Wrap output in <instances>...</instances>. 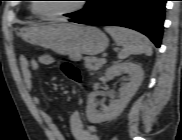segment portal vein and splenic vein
I'll list each match as a JSON object with an SVG mask.
<instances>
[{
  "instance_id": "1",
  "label": "portal vein and splenic vein",
  "mask_w": 182,
  "mask_h": 140,
  "mask_svg": "<svg viewBox=\"0 0 182 140\" xmlns=\"http://www.w3.org/2000/svg\"><path fill=\"white\" fill-rule=\"evenodd\" d=\"M101 61L105 63L106 62V59L105 58H101Z\"/></svg>"
}]
</instances>
